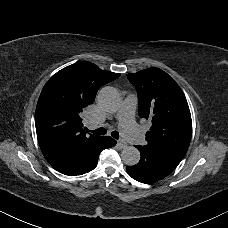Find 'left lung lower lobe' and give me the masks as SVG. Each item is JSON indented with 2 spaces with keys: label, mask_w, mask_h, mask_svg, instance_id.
Masks as SVG:
<instances>
[{
  "label": "left lung lower lobe",
  "mask_w": 228,
  "mask_h": 228,
  "mask_svg": "<svg viewBox=\"0 0 228 228\" xmlns=\"http://www.w3.org/2000/svg\"><path fill=\"white\" fill-rule=\"evenodd\" d=\"M135 147L140 151V161L137 165L127 166L126 170L132 178L142 183H154L168 176L183 158L159 148Z\"/></svg>",
  "instance_id": "1"
}]
</instances>
